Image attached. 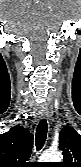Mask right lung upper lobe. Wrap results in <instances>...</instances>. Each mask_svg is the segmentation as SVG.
<instances>
[{
    "mask_svg": "<svg viewBox=\"0 0 81 167\" xmlns=\"http://www.w3.org/2000/svg\"><path fill=\"white\" fill-rule=\"evenodd\" d=\"M33 135L22 126H14L0 135V167H29Z\"/></svg>",
    "mask_w": 81,
    "mask_h": 167,
    "instance_id": "right-lung-upper-lobe-1",
    "label": "right lung upper lobe"
}]
</instances>
